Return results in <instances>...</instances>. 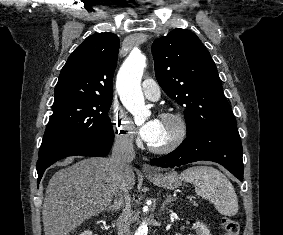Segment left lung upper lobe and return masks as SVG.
<instances>
[{
    "instance_id": "5c2ea615",
    "label": "left lung upper lobe",
    "mask_w": 283,
    "mask_h": 235,
    "mask_svg": "<svg viewBox=\"0 0 283 235\" xmlns=\"http://www.w3.org/2000/svg\"><path fill=\"white\" fill-rule=\"evenodd\" d=\"M152 53L159 85L185 109L187 136L236 126L216 65L194 33L176 28L153 42Z\"/></svg>"
}]
</instances>
